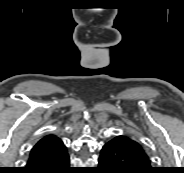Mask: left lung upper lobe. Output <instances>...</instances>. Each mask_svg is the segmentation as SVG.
Returning a JSON list of instances; mask_svg holds the SVG:
<instances>
[{"label": "left lung upper lobe", "mask_w": 184, "mask_h": 173, "mask_svg": "<svg viewBox=\"0 0 184 173\" xmlns=\"http://www.w3.org/2000/svg\"><path fill=\"white\" fill-rule=\"evenodd\" d=\"M129 145L131 149L141 158V160L144 161L148 166H150V159L143 146L139 142L131 138L129 139Z\"/></svg>", "instance_id": "obj_1"}]
</instances>
